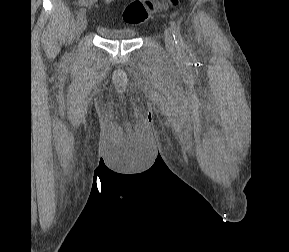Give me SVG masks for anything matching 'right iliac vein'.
I'll use <instances>...</instances> for the list:
<instances>
[{
	"label": "right iliac vein",
	"mask_w": 289,
	"mask_h": 252,
	"mask_svg": "<svg viewBox=\"0 0 289 252\" xmlns=\"http://www.w3.org/2000/svg\"><path fill=\"white\" fill-rule=\"evenodd\" d=\"M87 27V20L85 15L77 20L76 34L79 36Z\"/></svg>",
	"instance_id": "63e3f726"
}]
</instances>
